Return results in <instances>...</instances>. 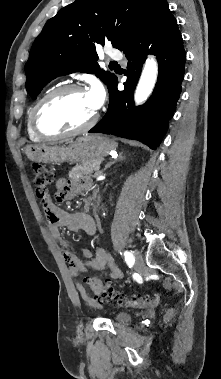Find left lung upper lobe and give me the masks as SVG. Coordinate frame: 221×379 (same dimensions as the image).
<instances>
[{
    "instance_id": "left-lung-upper-lobe-1",
    "label": "left lung upper lobe",
    "mask_w": 221,
    "mask_h": 379,
    "mask_svg": "<svg viewBox=\"0 0 221 379\" xmlns=\"http://www.w3.org/2000/svg\"><path fill=\"white\" fill-rule=\"evenodd\" d=\"M165 0H75L62 8L35 39L26 89L33 99L52 79L74 72L95 73L107 84L117 78L100 69L96 45L111 41L122 50L140 34Z\"/></svg>"
}]
</instances>
